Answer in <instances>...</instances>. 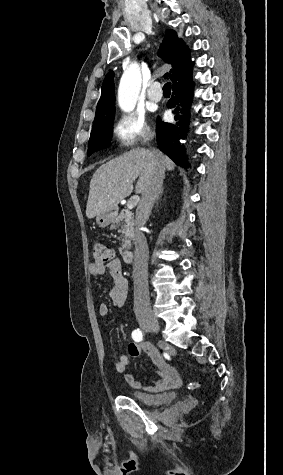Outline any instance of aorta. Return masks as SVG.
<instances>
[{"label":"aorta","instance_id":"obj_1","mask_svg":"<svg viewBox=\"0 0 283 475\" xmlns=\"http://www.w3.org/2000/svg\"><path fill=\"white\" fill-rule=\"evenodd\" d=\"M140 88V70L136 64H133L123 73L118 88V103L124 112L134 109Z\"/></svg>","mask_w":283,"mask_h":475}]
</instances>
